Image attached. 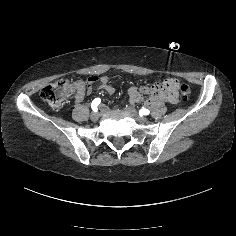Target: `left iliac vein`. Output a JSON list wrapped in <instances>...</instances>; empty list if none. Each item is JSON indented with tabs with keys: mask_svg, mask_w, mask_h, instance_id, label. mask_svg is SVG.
<instances>
[{
	"mask_svg": "<svg viewBox=\"0 0 236 236\" xmlns=\"http://www.w3.org/2000/svg\"><path fill=\"white\" fill-rule=\"evenodd\" d=\"M125 111L131 115L136 121L138 122H147V119L145 117H142V116H139V114L137 113V111L132 108V107H128V108H125Z\"/></svg>",
	"mask_w": 236,
	"mask_h": 236,
	"instance_id": "1",
	"label": "left iliac vein"
}]
</instances>
